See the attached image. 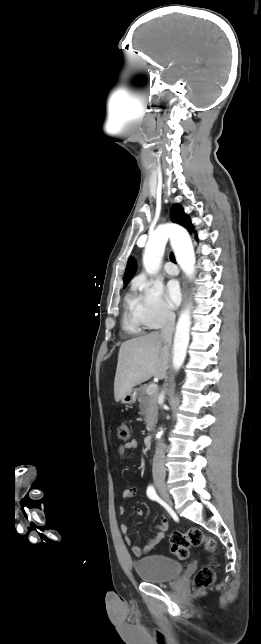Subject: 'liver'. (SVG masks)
I'll return each mask as SVG.
<instances>
[{"label": "liver", "instance_id": "obj_1", "mask_svg": "<svg viewBox=\"0 0 261 644\" xmlns=\"http://www.w3.org/2000/svg\"><path fill=\"white\" fill-rule=\"evenodd\" d=\"M170 343L159 332H152L121 344L114 380V396L118 402L151 377L164 379L168 369Z\"/></svg>", "mask_w": 261, "mask_h": 644}]
</instances>
